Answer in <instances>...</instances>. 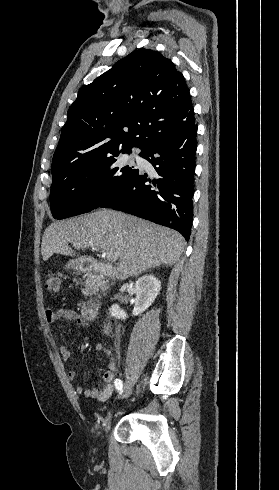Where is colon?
Listing matches in <instances>:
<instances>
[{"label": "colon", "mask_w": 279, "mask_h": 490, "mask_svg": "<svg viewBox=\"0 0 279 490\" xmlns=\"http://www.w3.org/2000/svg\"><path fill=\"white\" fill-rule=\"evenodd\" d=\"M44 287L51 294H59L61 291V279L57 275H51L44 280Z\"/></svg>", "instance_id": "colon-1"}]
</instances>
